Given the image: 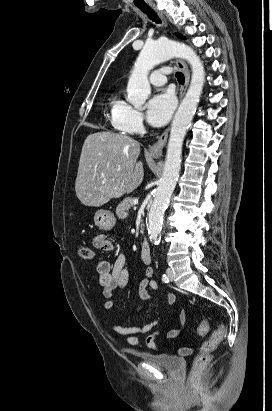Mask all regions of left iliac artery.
<instances>
[{
    "mask_svg": "<svg viewBox=\"0 0 272 411\" xmlns=\"http://www.w3.org/2000/svg\"><path fill=\"white\" fill-rule=\"evenodd\" d=\"M162 280H163V282H165V283H168V282H169V278H168V276H167L166 274H163Z\"/></svg>",
    "mask_w": 272,
    "mask_h": 411,
    "instance_id": "1",
    "label": "left iliac artery"
}]
</instances>
